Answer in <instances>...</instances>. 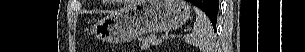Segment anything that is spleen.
<instances>
[{
	"label": "spleen",
	"instance_id": "3e777b00",
	"mask_svg": "<svg viewBox=\"0 0 305 52\" xmlns=\"http://www.w3.org/2000/svg\"><path fill=\"white\" fill-rule=\"evenodd\" d=\"M197 17L191 34L184 36L185 42L199 47L202 52H213V27L207 15L198 7H193Z\"/></svg>",
	"mask_w": 305,
	"mask_h": 52
}]
</instances>
